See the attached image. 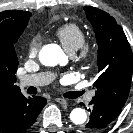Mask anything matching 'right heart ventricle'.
I'll list each match as a JSON object with an SVG mask.
<instances>
[{"instance_id": "e07e8e85", "label": "right heart ventricle", "mask_w": 133, "mask_h": 133, "mask_svg": "<svg viewBox=\"0 0 133 133\" xmlns=\"http://www.w3.org/2000/svg\"><path fill=\"white\" fill-rule=\"evenodd\" d=\"M55 35L69 53L76 52L85 43V33L75 23H67L59 26L55 30Z\"/></svg>"}]
</instances>
